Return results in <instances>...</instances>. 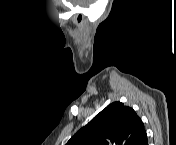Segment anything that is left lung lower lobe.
<instances>
[{"mask_svg":"<svg viewBox=\"0 0 176 145\" xmlns=\"http://www.w3.org/2000/svg\"><path fill=\"white\" fill-rule=\"evenodd\" d=\"M139 145H148L147 134H145V136L143 137V139Z\"/></svg>","mask_w":176,"mask_h":145,"instance_id":"obj_1","label":"left lung lower lobe"}]
</instances>
